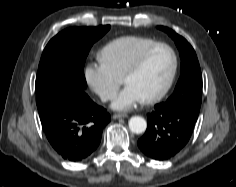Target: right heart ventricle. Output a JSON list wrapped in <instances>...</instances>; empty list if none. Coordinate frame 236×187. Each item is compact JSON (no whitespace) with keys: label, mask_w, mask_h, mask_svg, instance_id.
Here are the masks:
<instances>
[{"label":"right heart ventricle","mask_w":236,"mask_h":187,"mask_svg":"<svg viewBox=\"0 0 236 187\" xmlns=\"http://www.w3.org/2000/svg\"><path fill=\"white\" fill-rule=\"evenodd\" d=\"M156 43L149 37L128 35L116 38L98 52L99 62L118 78H122L138 54Z\"/></svg>","instance_id":"right-heart-ventricle-1"}]
</instances>
